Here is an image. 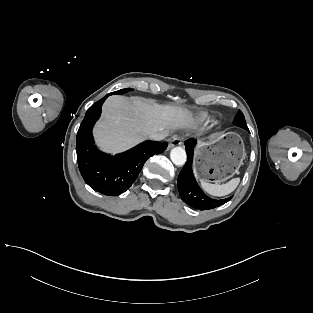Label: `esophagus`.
<instances>
[{
    "label": "esophagus",
    "mask_w": 313,
    "mask_h": 313,
    "mask_svg": "<svg viewBox=\"0 0 313 313\" xmlns=\"http://www.w3.org/2000/svg\"><path fill=\"white\" fill-rule=\"evenodd\" d=\"M182 142H181V139L179 137H174L171 141H170V144H169V147H174V146H178L180 145Z\"/></svg>",
    "instance_id": "1"
}]
</instances>
